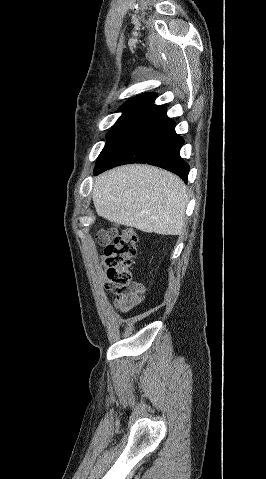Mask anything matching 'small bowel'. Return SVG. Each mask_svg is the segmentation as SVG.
Returning <instances> with one entry per match:
<instances>
[{"label":"small bowel","instance_id":"small-bowel-1","mask_svg":"<svg viewBox=\"0 0 266 479\" xmlns=\"http://www.w3.org/2000/svg\"><path fill=\"white\" fill-rule=\"evenodd\" d=\"M106 285L113 293V304L118 311L128 313L140 305L144 293L143 284L133 282L129 290L121 292L113 291L108 281Z\"/></svg>","mask_w":266,"mask_h":479}]
</instances>
